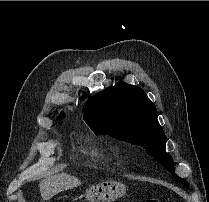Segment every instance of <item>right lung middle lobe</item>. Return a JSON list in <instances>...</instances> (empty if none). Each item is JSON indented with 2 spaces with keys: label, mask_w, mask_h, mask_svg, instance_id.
Instances as JSON below:
<instances>
[{
  "label": "right lung middle lobe",
  "mask_w": 209,
  "mask_h": 202,
  "mask_svg": "<svg viewBox=\"0 0 209 202\" xmlns=\"http://www.w3.org/2000/svg\"><path fill=\"white\" fill-rule=\"evenodd\" d=\"M65 114L62 113L61 116L58 118L59 120H62L64 118Z\"/></svg>",
  "instance_id": "dd1d6c3e"
}]
</instances>
